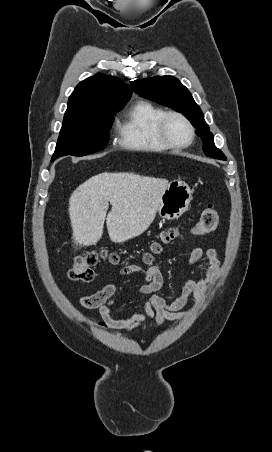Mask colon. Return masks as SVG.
<instances>
[{
    "instance_id": "obj_1",
    "label": "colon",
    "mask_w": 272,
    "mask_h": 452,
    "mask_svg": "<svg viewBox=\"0 0 272 452\" xmlns=\"http://www.w3.org/2000/svg\"><path fill=\"white\" fill-rule=\"evenodd\" d=\"M219 213L216 207L212 204L207 205L201 212L198 221L189 230L193 235H204L212 232L218 225ZM181 235L177 228H169L164 230L159 239L153 242L150 246V251L145 254L143 261L149 263L152 261V255L160 252L163 245L168 244ZM101 260H108L112 263L119 262L116 254L108 253L107 251H85L83 254L76 257L69 269L68 276L73 281L91 282L94 280L95 274L93 267Z\"/></svg>"
}]
</instances>
